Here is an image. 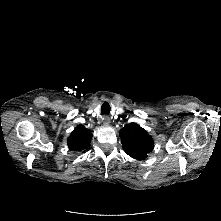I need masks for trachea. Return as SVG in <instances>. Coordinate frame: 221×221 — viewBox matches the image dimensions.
<instances>
[{
    "label": "trachea",
    "instance_id": "obj_1",
    "mask_svg": "<svg viewBox=\"0 0 221 221\" xmlns=\"http://www.w3.org/2000/svg\"><path fill=\"white\" fill-rule=\"evenodd\" d=\"M110 110H111V108H110L109 103L108 102H104L102 104V106H101V114L102 115H109Z\"/></svg>",
    "mask_w": 221,
    "mask_h": 221
}]
</instances>
